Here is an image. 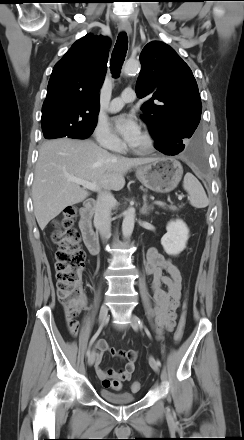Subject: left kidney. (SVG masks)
<instances>
[{
    "label": "left kidney",
    "mask_w": 244,
    "mask_h": 440,
    "mask_svg": "<svg viewBox=\"0 0 244 440\" xmlns=\"http://www.w3.org/2000/svg\"><path fill=\"white\" fill-rule=\"evenodd\" d=\"M167 233L161 238V245L168 255H178L185 248L189 239V229L180 219L171 221L166 226Z\"/></svg>",
    "instance_id": "5707ae66"
}]
</instances>
